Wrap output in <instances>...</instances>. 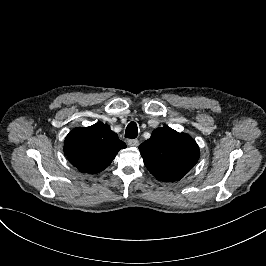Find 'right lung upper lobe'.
Returning <instances> with one entry per match:
<instances>
[{"label": "right lung upper lobe", "instance_id": "right-lung-upper-lobe-1", "mask_svg": "<svg viewBox=\"0 0 266 266\" xmlns=\"http://www.w3.org/2000/svg\"><path fill=\"white\" fill-rule=\"evenodd\" d=\"M126 144L102 122L75 128L67 135L64 152L79 171L96 174L107 168Z\"/></svg>", "mask_w": 266, "mask_h": 266}]
</instances>
